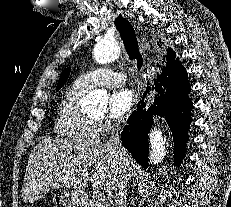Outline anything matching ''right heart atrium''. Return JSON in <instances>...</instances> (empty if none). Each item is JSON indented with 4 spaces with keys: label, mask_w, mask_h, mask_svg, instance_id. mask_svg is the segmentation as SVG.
Here are the masks:
<instances>
[{
    "label": "right heart atrium",
    "mask_w": 231,
    "mask_h": 207,
    "mask_svg": "<svg viewBox=\"0 0 231 207\" xmlns=\"http://www.w3.org/2000/svg\"><path fill=\"white\" fill-rule=\"evenodd\" d=\"M97 124H98V132L110 130L114 127V125L109 121L99 122Z\"/></svg>",
    "instance_id": "d8ad5b80"
}]
</instances>
